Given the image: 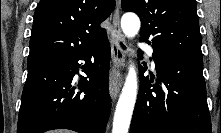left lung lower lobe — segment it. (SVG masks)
Listing matches in <instances>:
<instances>
[{
	"instance_id": "1",
	"label": "left lung lower lobe",
	"mask_w": 221,
	"mask_h": 133,
	"mask_svg": "<svg viewBox=\"0 0 221 133\" xmlns=\"http://www.w3.org/2000/svg\"><path fill=\"white\" fill-rule=\"evenodd\" d=\"M157 72L152 87L140 68L139 89L130 133H211L203 78V59L153 48ZM141 55L142 52L139 51Z\"/></svg>"
}]
</instances>
